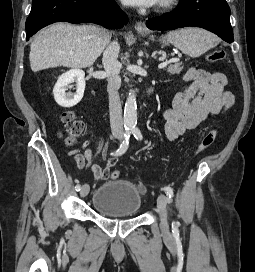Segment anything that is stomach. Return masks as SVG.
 Wrapping results in <instances>:
<instances>
[{
	"label": "stomach",
	"instance_id": "0dacf381",
	"mask_svg": "<svg viewBox=\"0 0 255 272\" xmlns=\"http://www.w3.org/2000/svg\"><path fill=\"white\" fill-rule=\"evenodd\" d=\"M143 35V34H142ZM150 40H153L154 41V36H150V38H149ZM167 38L166 37H160V39H159V42L162 44V45H166L167 44Z\"/></svg>",
	"mask_w": 255,
	"mask_h": 272
}]
</instances>
